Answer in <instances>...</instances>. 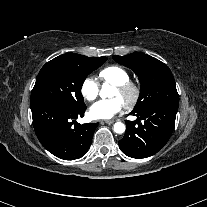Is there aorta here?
I'll return each instance as SVG.
<instances>
[{
    "mask_svg": "<svg viewBox=\"0 0 207 207\" xmlns=\"http://www.w3.org/2000/svg\"><path fill=\"white\" fill-rule=\"evenodd\" d=\"M114 90L115 89H114L113 86H110L109 84L104 83L102 85L101 90H100V96L102 98L112 97V96H114V93H115ZM125 129H126V127H125V125L122 122H116L114 124V127H113L114 132L117 133V134L124 133Z\"/></svg>",
    "mask_w": 207,
    "mask_h": 207,
    "instance_id": "obj_1",
    "label": "aorta"
}]
</instances>
